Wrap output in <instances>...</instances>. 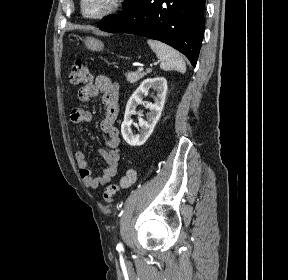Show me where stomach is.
<instances>
[{
    "label": "stomach",
    "instance_id": "stomach-1",
    "mask_svg": "<svg viewBox=\"0 0 288 280\" xmlns=\"http://www.w3.org/2000/svg\"><path fill=\"white\" fill-rule=\"evenodd\" d=\"M85 45L92 51H102L104 49L103 42L94 37H87L85 39Z\"/></svg>",
    "mask_w": 288,
    "mask_h": 280
}]
</instances>
